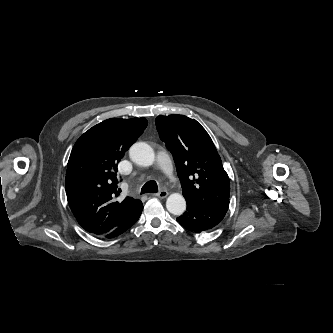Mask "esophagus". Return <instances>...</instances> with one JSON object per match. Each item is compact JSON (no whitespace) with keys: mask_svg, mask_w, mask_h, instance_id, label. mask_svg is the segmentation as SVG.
Listing matches in <instances>:
<instances>
[{"mask_svg":"<svg viewBox=\"0 0 333 333\" xmlns=\"http://www.w3.org/2000/svg\"><path fill=\"white\" fill-rule=\"evenodd\" d=\"M154 196L164 199L168 196V192L166 190H161L159 193H155Z\"/></svg>","mask_w":333,"mask_h":333,"instance_id":"esophagus-1","label":"esophagus"}]
</instances>
